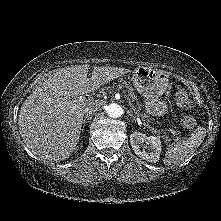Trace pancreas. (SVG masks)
<instances>
[{
	"label": "pancreas",
	"mask_w": 221,
	"mask_h": 221,
	"mask_svg": "<svg viewBox=\"0 0 221 221\" xmlns=\"http://www.w3.org/2000/svg\"><path fill=\"white\" fill-rule=\"evenodd\" d=\"M115 86L118 87L119 89H126L130 97V100L131 102H133L132 104L135 110L137 111V113L140 115V117L143 120H145L146 118L148 119L149 116L141 112V108L143 105L141 104L138 96L134 94L132 85L129 82L119 80L118 83H113V85L101 88L100 92L103 94H105L106 92H111V90L114 89Z\"/></svg>",
	"instance_id": "cf45deb5"
}]
</instances>
